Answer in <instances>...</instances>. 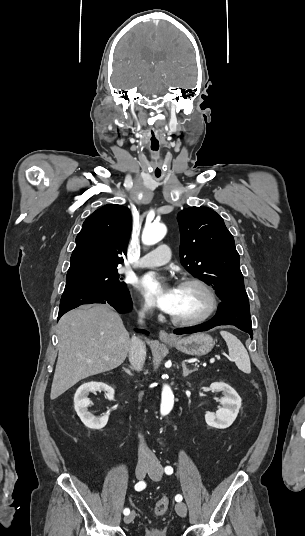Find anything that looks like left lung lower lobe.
<instances>
[{
    "label": "left lung lower lobe",
    "mask_w": 305,
    "mask_h": 536,
    "mask_svg": "<svg viewBox=\"0 0 305 536\" xmlns=\"http://www.w3.org/2000/svg\"><path fill=\"white\" fill-rule=\"evenodd\" d=\"M219 325H235L242 331L249 333L252 338L253 331L248 299L222 301L219 304L216 315L209 322L194 327L176 329L174 333H195L206 331Z\"/></svg>",
    "instance_id": "obj_1"
}]
</instances>
